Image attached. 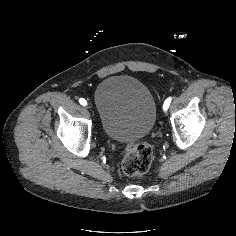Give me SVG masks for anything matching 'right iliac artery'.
Here are the masks:
<instances>
[{
    "label": "right iliac artery",
    "mask_w": 236,
    "mask_h": 236,
    "mask_svg": "<svg viewBox=\"0 0 236 236\" xmlns=\"http://www.w3.org/2000/svg\"><path fill=\"white\" fill-rule=\"evenodd\" d=\"M79 103L83 106H86L87 105V101L84 99V98H80L79 99Z\"/></svg>",
    "instance_id": "obj_1"
}]
</instances>
